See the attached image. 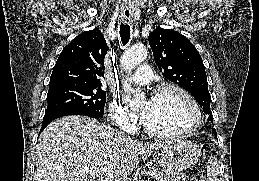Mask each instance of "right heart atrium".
Returning <instances> with one entry per match:
<instances>
[{
	"label": "right heart atrium",
	"mask_w": 259,
	"mask_h": 181,
	"mask_svg": "<svg viewBox=\"0 0 259 181\" xmlns=\"http://www.w3.org/2000/svg\"><path fill=\"white\" fill-rule=\"evenodd\" d=\"M109 116L116 127L127 132H133L137 127V116L116 99H112L109 104Z\"/></svg>",
	"instance_id": "1"
}]
</instances>
